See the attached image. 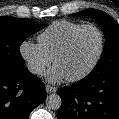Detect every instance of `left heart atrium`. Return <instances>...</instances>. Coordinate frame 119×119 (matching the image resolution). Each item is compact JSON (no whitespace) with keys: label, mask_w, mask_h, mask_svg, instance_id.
<instances>
[{"label":"left heart atrium","mask_w":119,"mask_h":119,"mask_svg":"<svg viewBox=\"0 0 119 119\" xmlns=\"http://www.w3.org/2000/svg\"><path fill=\"white\" fill-rule=\"evenodd\" d=\"M66 78L63 71L56 65L48 72V80L51 82H59Z\"/></svg>","instance_id":"39dd6f15"}]
</instances>
